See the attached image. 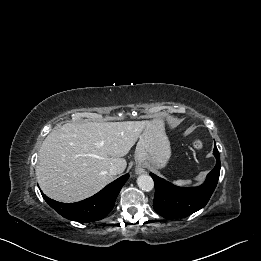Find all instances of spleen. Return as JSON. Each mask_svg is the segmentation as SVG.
I'll list each match as a JSON object with an SVG mask.
<instances>
[{
    "instance_id": "3e777b00",
    "label": "spleen",
    "mask_w": 261,
    "mask_h": 261,
    "mask_svg": "<svg viewBox=\"0 0 261 261\" xmlns=\"http://www.w3.org/2000/svg\"><path fill=\"white\" fill-rule=\"evenodd\" d=\"M192 183L191 180H176L174 181V184L178 185V186H186V185H190Z\"/></svg>"
}]
</instances>
